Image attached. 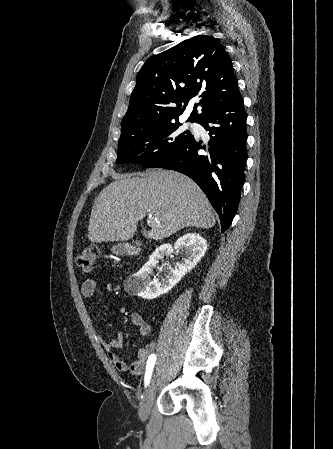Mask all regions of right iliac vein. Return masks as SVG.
Segmentation results:
<instances>
[{
    "mask_svg": "<svg viewBox=\"0 0 333 449\" xmlns=\"http://www.w3.org/2000/svg\"><path fill=\"white\" fill-rule=\"evenodd\" d=\"M155 398V375H153L151 382L149 383L142 400V404L139 410V417L142 421H146Z\"/></svg>",
    "mask_w": 333,
    "mask_h": 449,
    "instance_id": "right-iliac-vein-1",
    "label": "right iliac vein"
}]
</instances>
